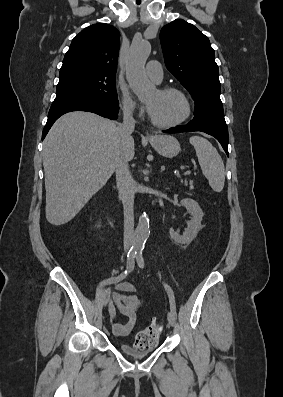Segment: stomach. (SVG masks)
<instances>
[{"mask_svg":"<svg viewBox=\"0 0 283 397\" xmlns=\"http://www.w3.org/2000/svg\"><path fill=\"white\" fill-rule=\"evenodd\" d=\"M151 146L162 156L173 158L180 152L178 140L170 135H155L149 140Z\"/></svg>","mask_w":283,"mask_h":397,"instance_id":"obj_1","label":"stomach"}]
</instances>
